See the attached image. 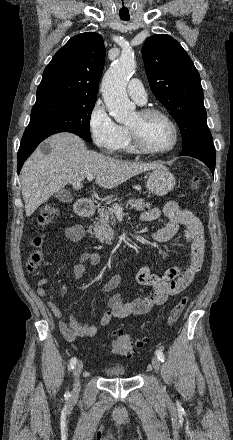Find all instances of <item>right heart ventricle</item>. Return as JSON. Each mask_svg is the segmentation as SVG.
Here are the masks:
<instances>
[{
  "mask_svg": "<svg viewBox=\"0 0 233 440\" xmlns=\"http://www.w3.org/2000/svg\"><path fill=\"white\" fill-rule=\"evenodd\" d=\"M119 151L124 152V153H135L136 152L132 146L130 136H129L128 131L126 129L124 131V138H123V141L120 145Z\"/></svg>",
  "mask_w": 233,
  "mask_h": 440,
  "instance_id": "1",
  "label": "right heart ventricle"
}]
</instances>
